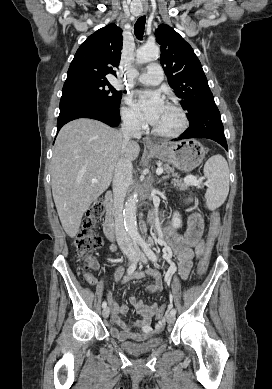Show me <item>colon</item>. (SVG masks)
<instances>
[{
    "instance_id": "colon-1",
    "label": "colon",
    "mask_w": 272,
    "mask_h": 389,
    "mask_svg": "<svg viewBox=\"0 0 272 389\" xmlns=\"http://www.w3.org/2000/svg\"><path fill=\"white\" fill-rule=\"evenodd\" d=\"M104 213V204L101 201H97L91 205L87 210L79 232L75 238V253L79 258H86L84 264L81 267V274L89 283L94 282V277L89 272V259L91 254L100 250L103 246V240L100 235L96 233V226ZM220 228V215L218 212H213L211 216V223L209 232L206 239V245L203 256L198 266L199 276H203L209 266L212 249L215 244L216 237ZM168 306L162 305L158 309L157 319L162 322Z\"/></svg>"
}]
</instances>
